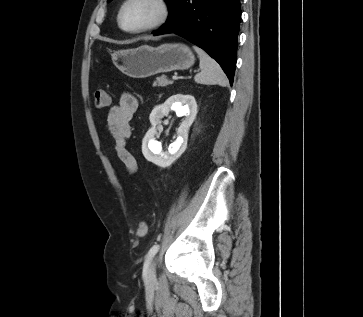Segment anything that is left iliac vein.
Listing matches in <instances>:
<instances>
[{
	"mask_svg": "<svg viewBox=\"0 0 363 317\" xmlns=\"http://www.w3.org/2000/svg\"><path fill=\"white\" fill-rule=\"evenodd\" d=\"M156 279V260H153L148 266L146 272V281L153 282Z\"/></svg>",
	"mask_w": 363,
	"mask_h": 317,
	"instance_id": "1",
	"label": "left iliac vein"
}]
</instances>
